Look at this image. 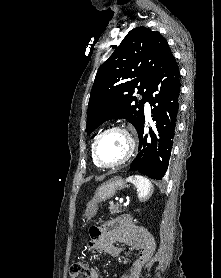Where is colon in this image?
Instances as JSON below:
<instances>
[{"mask_svg": "<svg viewBox=\"0 0 221 278\" xmlns=\"http://www.w3.org/2000/svg\"><path fill=\"white\" fill-rule=\"evenodd\" d=\"M91 269L84 261H75L69 270L70 278H90Z\"/></svg>", "mask_w": 221, "mask_h": 278, "instance_id": "colon-1", "label": "colon"}]
</instances>
